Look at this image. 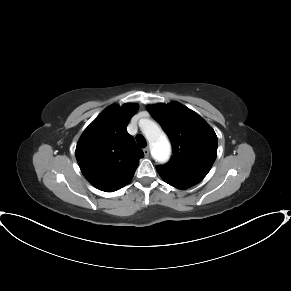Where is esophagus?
I'll use <instances>...</instances> for the list:
<instances>
[{"mask_svg": "<svg viewBox=\"0 0 291 291\" xmlns=\"http://www.w3.org/2000/svg\"><path fill=\"white\" fill-rule=\"evenodd\" d=\"M143 152H144V155H145L146 157L149 156V149H148V148H145V149L143 150Z\"/></svg>", "mask_w": 291, "mask_h": 291, "instance_id": "34e87169", "label": "esophagus"}]
</instances>
